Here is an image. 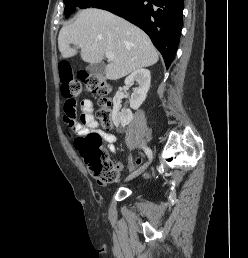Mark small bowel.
<instances>
[{
  "instance_id": "c3829d8e",
  "label": "small bowel",
  "mask_w": 248,
  "mask_h": 258,
  "mask_svg": "<svg viewBox=\"0 0 248 258\" xmlns=\"http://www.w3.org/2000/svg\"><path fill=\"white\" fill-rule=\"evenodd\" d=\"M80 110L81 113L79 115V119L76 120L74 115L72 120H67V127L74 128L76 132L81 134H85L91 131L97 132L106 143L107 148L114 153L116 151L114 143L116 142L117 138L114 134L107 133L99 129L98 122L94 116L92 101L89 99L82 100L80 103ZM122 168L123 165L118 163L117 170H121ZM97 183L99 184L100 182L98 181Z\"/></svg>"
}]
</instances>
